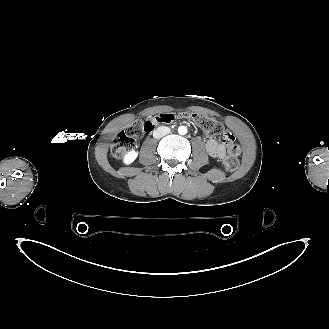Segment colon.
<instances>
[{"instance_id":"colon-1","label":"colon","mask_w":329,"mask_h":329,"mask_svg":"<svg viewBox=\"0 0 329 329\" xmlns=\"http://www.w3.org/2000/svg\"><path fill=\"white\" fill-rule=\"evenodd\" d=\"M182 116L191 118L195 121L208 136H220L226 144L230 146L233 145V136L219 121L197 114ZM155 121V118L148 119L144 122L136 121L126 129L120 131L111 146V155L113 158L117 160L123 158V156L135 146L137 140L141 138L145 132H148L153 128ZM223 164L228 171L232 172L238 168L239 160L236 156L230 155L226 157Z\"/></svg>"}]
</instances>
